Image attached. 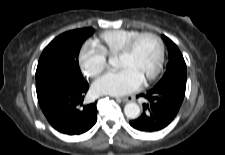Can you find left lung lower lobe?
<instances>
[{"instance_id": "1", "label": "left lung lower lobe", "mask_w": 225, "mask_h": 155, "mask_svg": "<svg viewBox=\"0 0 225 155\" xmlns=\"http://www.w3.org/2000/svg\"><path fill=\"white\" fill-rule=\"evenodd\" d=\"M185 86L179 84L155 85L146 94L142 115L130 121V125L140 131H159L176 117L185 95Z\"/></svg>"}]
</instances>
